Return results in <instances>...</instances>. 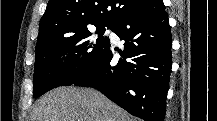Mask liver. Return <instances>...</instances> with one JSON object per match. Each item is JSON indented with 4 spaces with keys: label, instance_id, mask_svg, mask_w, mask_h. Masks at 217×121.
Segmentation results:
<instances>
[{
    "label": "liver",
    "instance_id": "liver-1",
    "mask_svg": "<svg viewBox=\"0 0 217 121\" xmlns=\"http://www.w3.org/2000/svg\"><path fill=\"white\" fill-rule=\"evenodd\" d=\"M34 121H129L128 114L94 89L59 87L33 110Z\"/></svg>",
    "mask_w": 217,
    "mask_h": 121
}]
</instances>
